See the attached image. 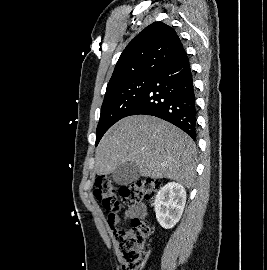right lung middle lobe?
<instances>
[{
  "label": "right lung middle lobe",
  "mask_w": 267,
  "mask_h": 270,
  "mask_svg": "<svg viewBox=\"0 0 267 270\" xmlns=\"http://www.w3.org/2000/svg\"><path fill=\"white\" fill-rule=\"evenodd\" d=\"M153 77L140 76L106 90L96 131V146L104 133L117 121L126 117L139 102Z\"/></svg>",
  "instance_id": "1"
}]
</instances>
